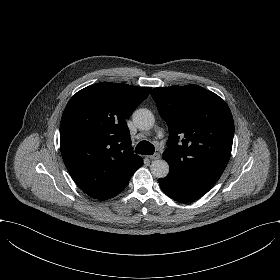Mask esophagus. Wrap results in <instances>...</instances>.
Returning <instances> with one entry per match:
<instances>
[{"label":"esophagus","mask_w":280,"mask_h":280,"mask_svg":"<svg viewBox=\"0 0 280 280\" xmlns=\"http://www.w3.org/2000/svg\"><path fill=\"white\" fill-rule=\"evenodd\" d=\"M160 157H161V155L158 152L154 153L151 156H148V158L151 159V160H157V159H160Z\"/></svg>","instance_id":"34e87169"}]
</instances>
